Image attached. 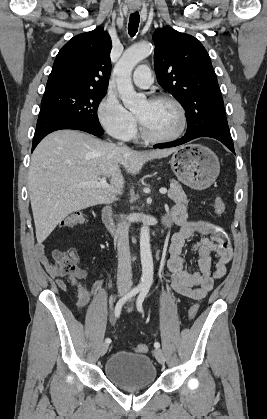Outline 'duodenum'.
I'll return each mask as SVG.
<instances>
[{
  "label": "duodenum",
  "instance_id": "duodenum-1",
  "mask_svg": "<svg viewBox=\"0 0 267 419\" xmlns=\"http://www.w3.org/2000/svg\"><path fill=\"white\" fill-rule=\"evenodd\" d=\"M102 221H103L104 226L110 233L112 234L116 233V223L114 220L113 209L110 205H107L103 208ZM161 224H162V227L166 229L170 226L171 223L167 219L163 218Z\"/></svg>",
  "mask_w": 267,
  "mask_h": 419
}]
</instances>
